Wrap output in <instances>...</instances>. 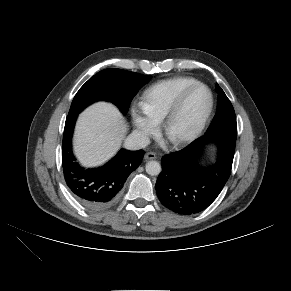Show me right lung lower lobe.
Returning a JSON list of instances; mask_svg holds the SVG:
<instances>
[{"mask_svg": "<svg viewBox=\"0 0 291 291\" xmlns=\"http://www.w3.org/2000/svg\"><path fill=\"white\" fill-rule=\"evenodd\" d=\"M78 114L68 115L62 143V165L67 186L85 207L100 211L112 206L119 198L127 177L141 163L144 151L120 150L107 164L84 169L72 153V134Z\"/></svg>", "mask_w": 291, "mask_h": 291, "instance_id": "obj_1", "label": "right lung lower lobe"}]
</instances>
